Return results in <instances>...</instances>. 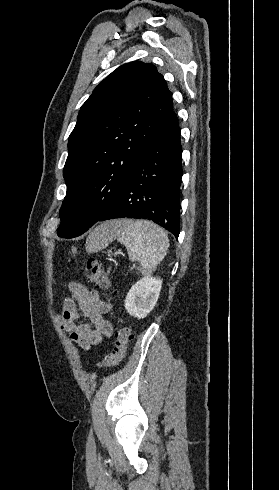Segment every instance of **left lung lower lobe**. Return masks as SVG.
Wrapping results in <instances>:
<instances>
[{
    "instance_id": "obj_1",
    "label": "left lung lower lobe",
    "mask_w": 279,
    "mask_h": 490,
    "mask_svg": "<svg viewBox=\"0 0 279 490\" xmlns=\"http://www.w3.org/2000/svg\"><path fill=\"white\" fill-rule=\"evenodd\" d=\"M182 148L175 112L155 131L120 186L112 207L99 221L152 220L178 239Z\"/></svg>"
}]
</instances>
